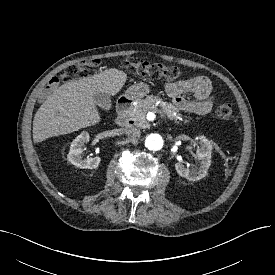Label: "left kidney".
Instances as JSON below:
<instances>
[{
  "mask_svg": "<svg viewBox=\"0 0 275 275\" xmlns=\"http://www.w3.org/2000/svg\"><path fill=\"white\" fill-rule=\"evenodd\" d=\"M199 143L200 147L196 151V158L200 161L199 167L190 169L180 162L175 164L177 173L189 181H198L204 178L211 165L212 145L210 141L205 136H200Z\"/></svg>",
  "mask_w": 275,
  "mask_h": 275,
  "instance_id": "left-kidney-1",
  "label": "left kidney"
}]
</instances>
